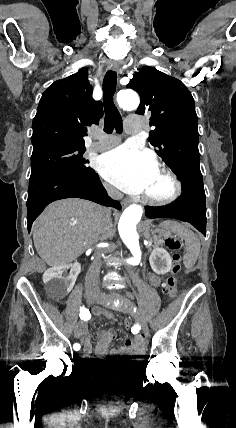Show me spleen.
<instances>
[{"instance_id":"1","label":"spleen","mask_w":236,"mask_h":428,"mask_svg":"<svg viewBox=\"0 0 236 428\" xmlns=\"http://www.w3.org/2000/svg\"><path fill=\"white\" fill-rule=\"evenodd\" d=\"M162 228L169 230V232H174L179 238L185 240L186 252L183 262L186 268L194 266L200 252V240L192 230L186 228V226H181L178 222H163Z\"/></svg>"}]
</instances>
